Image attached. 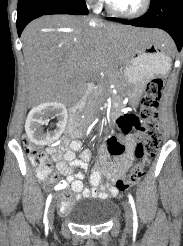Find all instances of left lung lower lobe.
Listing matches in <instances>:
<instances>
[{"mask_svg": "<svg viewBox=\"0 0 183 246\" xmlns=\"http://www.w3.org/2000/svg\"><path fill=\"white\" fill-rule=\"evenodd\" d=\"M107 19L137 27L163 29L174 39L178 51L183 46V0H151L148 12L141 17Z\"/></svg>", "mask_w": 183, "mask_h": 246, "instance_id": "left-lung-lower-lobe-1", "label": "left lung lower lobe"}]
</instances>
